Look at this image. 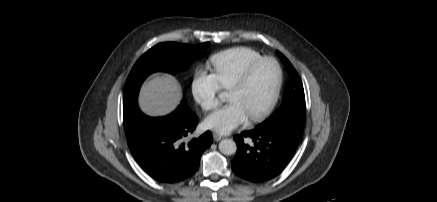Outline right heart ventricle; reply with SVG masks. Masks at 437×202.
Masks as SVG:
<instances>
[{
    "mask_svg": "<svg viewBox=\"0 0 437 202\" xmlns=\"http://www.w3.org/2000/svg\"><path fill=\"white\" fill-rule=\"evenodd\" d=\"M262 55L249 47H233L213 54L209 63L222 88L229 89L245 68Z\"/></svg>",
    "mask_w": 437,
    "mask_h": 202,
    "instance_id": "obj_1",
    "label": "right heart ventricle"
}]
</instances>
